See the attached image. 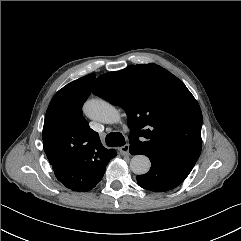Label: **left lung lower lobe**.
<instances>
[{
  "instance_id": "left-lung-lower-lobe-1",
  "label": "left lung lower lobe",
  "mask_w": 241,
  "mask_h": 241,
  "mask_svg": "<svg viewBox=\"0 0 241 241\" xmlns=\"http://www.w3.org/2000/svg\"><path fill=\"white\" fill-rule=\"evenodd\" d=\"M130 152L140 154L132 146H130ZM150 160L152 165L149 173L137 177L138 185L150 191L163 192L171 190L180 185L191 172L189 169L163 160L155 158H150Z\"/></svg>"
}]
</instances>
